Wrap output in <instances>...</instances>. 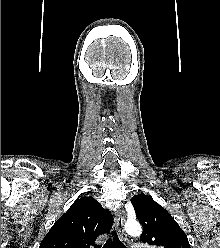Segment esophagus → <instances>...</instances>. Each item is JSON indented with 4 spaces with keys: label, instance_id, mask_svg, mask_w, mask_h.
<instances>
[{
    "label": "esophagus",
    "instance_id": "obj_1",
    "mask_svg": "<svg viewBox=\"0 0 220 248\" xmlns=\"http://www.w3.org/2000/svg\"><path fill=\"white\" fill-rule=\"evenodd\" d=\"M125 222V213L123 210L119 209L115 212L114 215V223L115 227L117 228L121 238L125 239L126 235L124 233L123 225Z\"/></svg>",
    "mask_w": 220,
    "mask_h": 248
}]
</instances>
